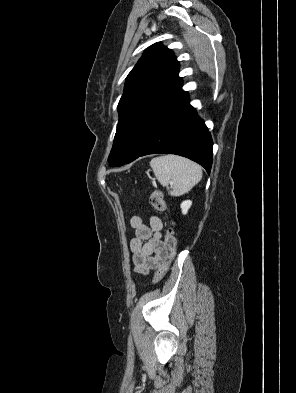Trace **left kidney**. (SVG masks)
<instances>
[{"label": "left kidney", "mask_w": 296, "mask_h": 393, "mask_svg": "<svg viewBox=\"0 0 296 393\" xmlns=\"http://www.w3.org/2000/svg\"><path fill=\"white\" fill-rule=\"evenodd\" d=\"M191 205H192V201L191 200H185V201H183L181 203L180 207H181L182 213L184 215L187 214V212L190 209Z\"/></svg>", "instance_id": "left-kidney-1"}]
</instances>
